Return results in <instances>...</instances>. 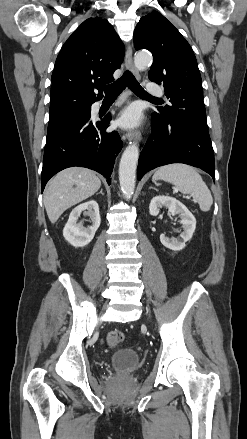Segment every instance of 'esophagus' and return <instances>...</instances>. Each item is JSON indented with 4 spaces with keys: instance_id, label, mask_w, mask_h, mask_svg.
Here are the masks:
<instances>
[{
    "instance_id": "34e87169",
    "label": "esophagus",
    "mask_w": 247,
    "mask_h": 439,
    "mask_svg": "<svg viewBox=\"0 0 247 439\" xmlns=\"http://www.w3.org/2000/svg\"><path fill=\"white\" fill-rule=\"evenodd\" d=\"M125 65H126V68L129 71H131L136 78H138V79L140 78L139 71L137 70V68L135 67V65L133 63L132 47L131 46H129L127 51H126ZM126 138L128 140H133V139L140 140L141 134L138 131H129V132L126 133Z\"/></svg>"
}]
</instances>
